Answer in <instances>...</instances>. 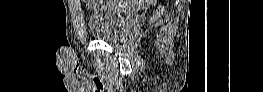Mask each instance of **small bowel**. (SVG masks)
Listing matches in <instances>:
<instances>
[{
    "instance_id": "c3829d8e",
    "label": "small bowel",
    "mask_w": 263,
    "mask_h": 92,
    "mask_svg": "<svg viewBox=\"0 0 263 92\" xmlns=\"http://www.w3.org/2000/svg\"><path fill=\"white\" fill-rule=\"evenodd\" d=\"M99 3H100V1H87V5L89 8H93V6L98 5ZM117 8H121V7L117 6Z\"/></svg>"
}]
</instances>
